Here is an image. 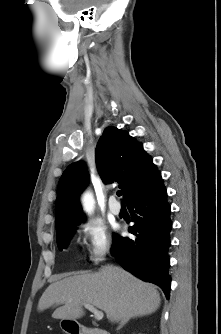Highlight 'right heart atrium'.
Masks as SVG:
<instances>
[{"mask_svg": "<svg viewBox=\"0 0 221 334\" xmlns=\"http://www.w3.org/2000/svg\"><path fill=\"white\" fill-rule=\"evenodd\" d=\"M80 232L89 260L96 264L103 261L112 247L106 225L97 219H87L81 224Z\"/></svg>", "mask_w": 221, "mask_h": 334, "instance_id": "right-heart-atrium-1", "label": "right heart atrium"}]
</instances>
